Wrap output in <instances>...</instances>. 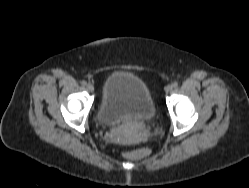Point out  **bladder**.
Listing matches in <instances>:
<instances>
[{
  "label": "bladder",
  "instance_id": "obj_1",
  "mask_svg": "<svg viewBox=\"0 0 249 188\" xmlns=\"http://www.w3.org/2000/svg\"><path fill=\"white\" fill-rule=\"evenodd\" d=\"M156 114L152 92L144 80L125 71H115L107 76L97 110L101 124L115 126L128 117L151 122Z\"/></svg>",
  "mask_w": 249,
  "mask_h": 188
}]
</instances>
